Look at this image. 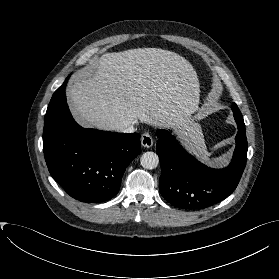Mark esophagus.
<instances>
[{
    "label": "esophagus",
    "instance_id": "obj_1",
    "mask_svg": "<svg viewBox=\"0 0 279 279\" xmlns=\"http://www.w3.org/2000/svg\"><path fill=\"white\" fill-rule=\"evenodd\" d=\"M141 145L145 148H150L153 145V138L149 133L141 135Z\"/></svg>",
    "mask_w": 279,
    "mask_h": 279
}]
</instances>
